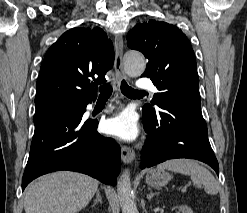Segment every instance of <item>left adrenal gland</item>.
Here are the masks:
<instances>
[{
  "instance_id": "left-adrenal-gland-1",
  "label": "left adrenal gland",
  "mask_w": 247,
  "mask_h": 213,
  "mask_svg": "<svg viewBox=\"0 0 247 213\" xmlns=\"http://www.w3.org/2000/svg\"><path fill=\"white\" fill-rule=\"evenodd\" d=\"M149 194L147 195V198L151 200L153 196L157 195L158 193H153L151 188H148Z\"/></svg>"
}]
</instances>
